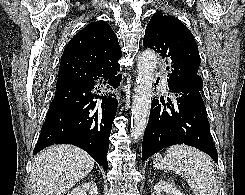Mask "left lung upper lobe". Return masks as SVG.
<instances>
[{
  "label": "left lung upper lobe",
  "instance_id": "5c2ea615",
  "mask_svg": "<svg viewBox=\"0 0 245 195\" xmlns=\"http://www.w3.org/2000/svg\"><path fill=\"white\" fill-rule=\"evenodd\" d=\"M143 46L166 59L168 82L202 90L197 43L190 30L177 18L155 13L147 24Z\"/></svg>",
  "mask_w": 245,
  "mask_h": 195
}]
</instances>
